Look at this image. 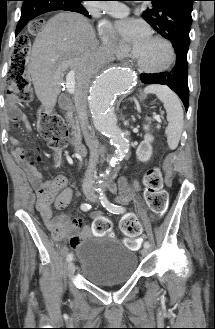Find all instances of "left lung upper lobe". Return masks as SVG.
Returning <instances> with one entry per match:
<instances>
[{
    "label": "left lung upper lobe",
    "mask_w": 215,
    "mask_h": 329,
    "mask_svg": "<svg viewBox=\"0 0 215 329\" xmlns=\"http://www.w3.org/2000/svg\"><path fill=\"white\" fill-rule=\"evenodd\" d=\"M152 8L143 13V18L161 36L171 41L173 47L181 44L189 47L193 1L195 0H148Z\"/></svg>",
    "instance_id": "obj_1"
}]
</instances>
